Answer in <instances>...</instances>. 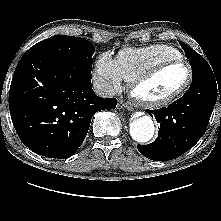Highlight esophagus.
<instances>
[{"label": "esophagus", "instance_id": "1", "mask_svg": "<svg viewBox=\"0 0 221 221\" xmlns=\"http://www.w3.org/2000/svg\"><path fill=\"white\" fill-rule=\"evenodd\" d=\"M118 108H125V109H127V110H129V111H132L133 110V108H132V106L128 103V102H124V101H119V103H118Z\"/></svg>", "mask_w": 221, "mask_h": 221}]
</instances>
